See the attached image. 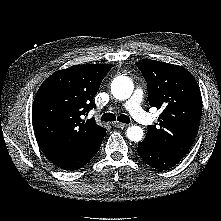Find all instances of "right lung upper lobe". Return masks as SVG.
<instances>
[{
    "label": "right lung upper lobe",
    "mask_w": 221,
    "mask_h": 221,
    "mask_svg": "<svg viewBox=\"0 0 221 221\" xmlns=\"http://www.w3.org/2000/svg\"><path fill=\"white\" fill-rule=\"evenodd\" d=\"M110 64L74 65L57 71L40 86L33 103L32 123L43 153L72 155L94 147L105 128L93 118L85 121Z\"/></svg>",
    "instance_id": "right-lung-upper-lobe-1"
}]
</instances>
